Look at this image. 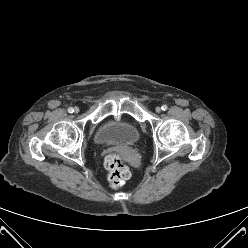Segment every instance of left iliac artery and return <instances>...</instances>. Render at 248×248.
Instances as JSON below:
<instances>
[{"label":"left iliac artery","instance_id":"1","mask_svg":"<svg viewBox=\"0 0 248 248\" xmlns=\"http://www.w3.org/2000/svg\"><path fill=\"white\" fill-rule=\"evenodd\" d=\"M167 105H163L162 107H161V109L163 110V111H165V110H167Z\"/></svg>","mask_w":248,"mask_h":248}]
</instances>
